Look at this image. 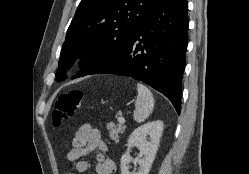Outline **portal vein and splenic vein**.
Here are the masks:
<instances>
[{"label":"portal vein and splenic vein","instance_id":"portal-vein-and-splenic-vein-1","mask_svg":"<svg viewBox=\"0 0 249 174\" xmlns=\"http://www.w3.org/2000/svg\"><path fill=\"white\" fill-rule=\"evenodd\" d=\"M118 122L120 124H124L125 123V119L122 116H120V117H118Z\"/></svg>","mask_w":249,"mask_h":174}]
</instances>
